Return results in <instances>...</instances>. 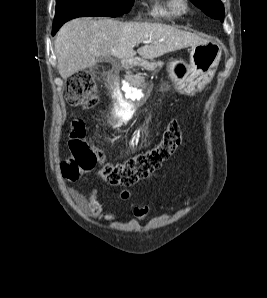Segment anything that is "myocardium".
Listing matches in <instances>:
<instances>
[{
  "instance_id": "myocardium-1",
  "label": "myocardium",
  "mask_w": 267,
  "mask_h": 298,
  "mask_svg": "<svg viewBox=\"0 0 267 298\" xmlns=\"http://www.w3.org/2000/svg\"><path fill=\"white\" fill-rule=\"evenodd\" d=\"M174 3L181 13H185L189 10V0H174Z\"/></svg>"
}]
</instances>
